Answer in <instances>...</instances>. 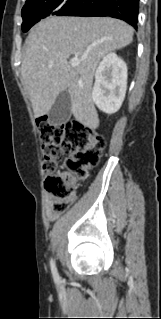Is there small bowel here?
<instances>
[{
	"mask_svg": "<svg viewBox=\"0 0 161 319\" xmlns=\"http://www.w3.org/2000/svg\"><path fill=\"white\" fill-rule=\"evenodd\" d=\"M52 201H53V199L51 196L46 197V207H45L46 216H47L48 220L51 222L55 221L57 219V215L54 214L51 210Z\"/></svg>",
	"mask_w": 161,
	"mask_h": 319,
	"instance_id": "1",
	"label": "small bowel"
}]
</instances>
